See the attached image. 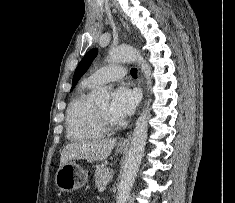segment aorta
Segmentation results:
<instances>
[{
	"instance_id": "762f6f07",
	"label": "aorta",
	"mask_w": 235,
	"mask_h": 203,
	"mask_svg": "<svg viewBox=\"0 0 235 203\" xmlns=\"http://www.w3.org/2000/svg\"><path fill=\"white\" fill-rule=\"evenodd\" d=\"M107 61L109 63H138L141 67V71L145 75L147 85H149V88L151 87V67L136 49L128 46L111 47ZM107 97L108 93L105 89L97 94V99L99 100L107 99ZM149 103L150 101L146 102L147 107L143 109V112L135 123L129 152L123 169L122 179L118 186L116 203H126L142 160L147 140Z\"/></svg>"
}]
</instances>
